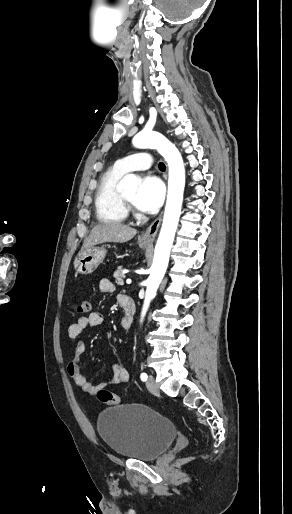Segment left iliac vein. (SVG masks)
Wrapping results in <instances>:
<instances>
[{
    "label": "left iliac vein",
    "instance_id": "1",
    "mask_svg": "<svg viewBox=\"0 0 292 514\" xmlns=\"http://www.w3.org/2000/svg\"><path fill=\"white\" fill-rule=\"evenodd\" d=\"M146 387L152 394L159 393V388L155 382V378L152 375H150L148 377L147 382H146Z\"/></svg>",
    "mask_w": 292,
    "mask_h": 514
}]
</instances>
